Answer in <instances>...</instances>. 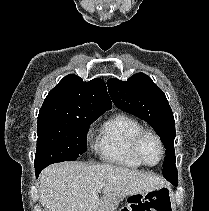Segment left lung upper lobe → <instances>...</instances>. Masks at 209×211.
Instances as JSON below:
<instances>
[{"mask_svg":"<svg viewBox=\"0 0 209 211\" xmlns=\"http://www.w3.org/2000/svg\"><path fill=\"white\" fill-rule=\"evenodd\" d=\"M109 95L114 104L148 122L160 136L166 154L163 175L175 176L173 112L164 92L144 73H137L127 81L111 78L107 81Z\"/></svg>","mask_w":209,"mask_h":211,"instance_id":"left-lung-upper-lobe-1","label":"left lung upper lobe"}]
</instances>
